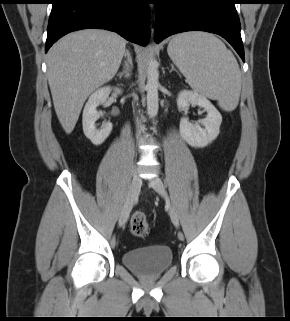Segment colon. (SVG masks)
I'll return each mask as SVG.
<instances>
[{
  "label": "colon",
  "mask_w": 290,
  "mask_h": 321,
  "mask_svg": "<svg viewBox=\"0 0 290 321\" xmlns=\"http://www.w3.org/2000/svg\"><path fill=\"white\" fill-rule=\"evenodd\" d=\"M130 230L138 238H145L149 235L150 226L147 216L143 212H136L130 219Z\"/></svg>",
  "instance_id": "5ec220e1"
}]
</instances>
